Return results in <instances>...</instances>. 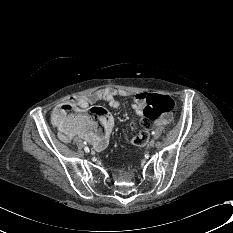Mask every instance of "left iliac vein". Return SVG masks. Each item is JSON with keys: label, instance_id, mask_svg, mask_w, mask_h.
<instances>
[{"label": "left iliac vein", "instance_id": "4c4485c4", "mask_svg": "<svg viewBox=\"0 0 233 233\" xmlns=\"http://www.w3.org/2000/svg\"><path fill=\"white\" fill-rule=\"evenodd\" d=\"M155 145V141L154 140H151L149 143H148V146L149 147H153Z\"/></svg>", "mask_w": 233, "mask_h": 233}]
</instances>
